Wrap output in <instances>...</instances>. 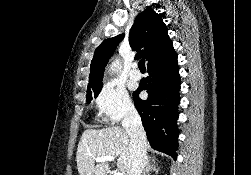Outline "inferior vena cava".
Instances as JSON below:
<instances>
[{
  "label": "inferior vena cava",
  "instance_id": "inferior-vena-cava-1",
  "mask_svg": "<svg viewBox=\"0 0 251 175\" xmlns=\"http://www.w3.org/2000/svg\"><path fill=\"white\" fill-rule=\"evenodd\" d=\"M123 127L130 135L129 167L126 175H141L147 159V137L142 125L141 117L135 107H127L124 113Z\"/></svg>",
  "mask_w": 251,
  "mask_h": 175
}]
</instances>
